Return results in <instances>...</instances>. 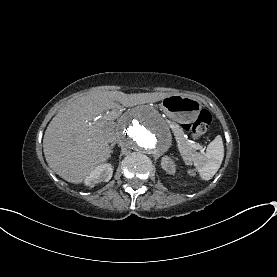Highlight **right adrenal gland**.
Masks as SVG:
<instances>
[{"mask_svg": "<svg viewBox=\"0 0 277 277\" xmlns=\"http://www.w3.org/2000/svg\"><path fill=\"white\" fill-rule=\"evenodd\" d=\"M115 145H116V142L112 143V144H111L112 148H113Z\"/></svg>", "mask_w": 277, "mask_h": 277, "instance_id": "right-adrenal-gland-1", "label": "right adrenal gland"}]
</instances>
